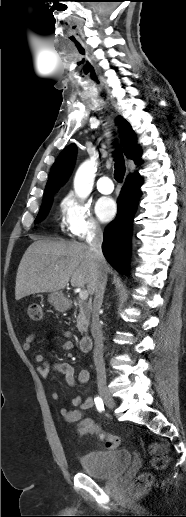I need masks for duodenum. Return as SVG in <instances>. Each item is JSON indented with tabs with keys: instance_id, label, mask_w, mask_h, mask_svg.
Here are the masks:
<instances>
[{
	"instance_id": "obj_1",
	"label": "duodenum",
	"mask_w": 186,
	"mask_h": 517,
	"mask_svg": "<svg viewBox=\"0 0 186 517\" xmlns=\"http://www.w3.org/2000/svg\"><path fill=\"white\" fill-rule=\"evenodd\" d=\"M93 339L90 335H83L79 340V347L83 352H89L92 349Z\"/></svg>"
}]
</instances>
